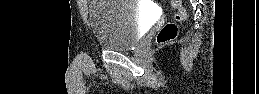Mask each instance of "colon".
<instances>
[{
  "label": "colon",
  "mask_w": 259,
  "mask_h": 94,
  "mask_svg": "<svg viewBox=\"0 0 259 94\" xmlns=\"http://www.w3.org/2000/svg\"><path fill=\"white\" fill-rule=\"evenodd\" d=\"M172 7L175 9V20L180 21L185 17V9L180 0H172ZM178 28L174 22L167 23L158 33L157 42L167 43L177 36Z\"/></svg>",
  "instance_id": "obj_1"
}]
</instances>
